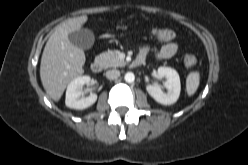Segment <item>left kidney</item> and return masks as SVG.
Instances as JSON below:
<instances>
[{
    "label": "left kidney",
    "instance_id": "obj_1",
    "mask_svg": "<svg viewBox=\"0 0 248 165\" xmlns=\"http://www.w3.org/2000/svg\"><path fill=\"white\" fill-rule=\"evenodd\" d=\"M157 75L161 78H166L165 87L167 88V92L164 93L161 87L158 85H147V92L155 101L160 104H174L178 100L181 90L179 74L172 68L159 67Z\"/></svg>",
    "mask_w": 248,
    "mask_h": 165
}]
</instances>
